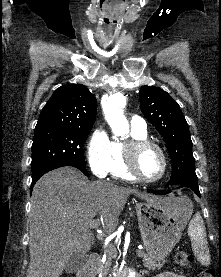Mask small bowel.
Here are the masks:
<instances>
[{"label": "small bowel", "mask_w": 221, "mask_h": 277, "mask_svg": "<svg viewBox=\"0 0 221 277\" xmlns=\"http://www.w3.org/2000/svg\"><path fill=\"white\" fill-rule=\"evenodd\" d=\"M156 277H186L184 275L178 274V273H172V272H165L157 275Z\"/></svg>", "instance_id": "c3829d8e"}]
</instances>
